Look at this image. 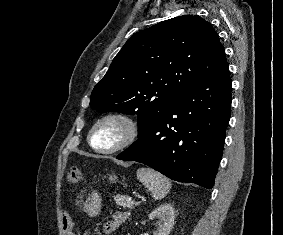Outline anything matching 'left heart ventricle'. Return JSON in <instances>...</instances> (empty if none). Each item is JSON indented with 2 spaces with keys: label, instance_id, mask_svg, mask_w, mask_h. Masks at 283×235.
Here are the masks:
<instances>
[{
  "label": "left heart ventricle",
  "instance_id": "b2bd125f",
  "mask_svg": "<svg viewBox=\"0 0 283 235\" xmlns=\"http://www.w3.org/2000/svg\"><path fill=\"white\" fill-rule=\"evenodd\" d=\"M124 131V126L120 122H106L97 129L93 142L98 147L109 148L121 140Z\"/></svg>",
  "mask_w": 283,
  "mask_h": 235
}]
</instances>
